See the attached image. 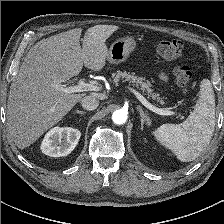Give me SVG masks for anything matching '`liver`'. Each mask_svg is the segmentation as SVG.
Masks as SVG:
<instances>
[{
	"mask_svg": "<svg viewBox=\"0 0 224 224\" xmlns=\"http://www.w3.org/2000/svg\"><path fill=\"white\" fill-rule=\"evenodd\" d=\"M118 29L90 27L82 48L81 28L44 38L31 47L11 83L7 103V128L19 149L33 144L81 101L85 93L65 94L55 85L66 87L83 66L100 72L108 55L106 40Z\"/></svg>",
	"mask_w": 224,
	"mask_h": 224,
	"instance_id": "obj_1",
	"label": "liver"
}]
</instances>
